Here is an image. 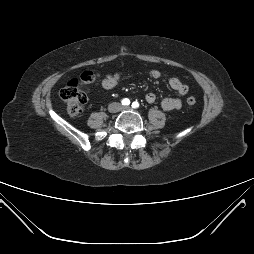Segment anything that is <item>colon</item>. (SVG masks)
Segmentation results:
<instances>
[{"label":"colon","mask_w":254,"mask_h":254,"mask_svg":"<svg viewBox=\"0 0 254 254\" xmlns=\"http://www.w3.org/2000/svg\"><path fill=\"white\" fill-rule=\"evenodd\" d=\"M98 75L92 71H85L79 78L70 80L60 91L61 99L66 103L67 112L72 117L79 116L88 100V95L84 89L85 85L94 83ZM188 105H194L196 98L189 96L186 99Z\"/></svg>","instance_id":"obj_1"}]
</instances>
